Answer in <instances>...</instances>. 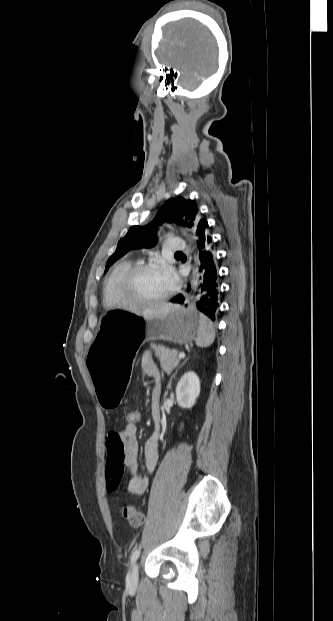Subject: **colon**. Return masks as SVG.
I'll list each match as a JSON object with an SVG mask.
<instances>
[{"instance_id": "1", "label": "colon", "mask_w": 333, "mask_h": 621, "mask_svg": "<svg viewBox=\"0 0 333 621\" xmlns=\"http://www.w3.org/2000/svg\"><path fill=\"white\" fill-rule=\"evenodd\" d=\"M141 420V412L136 408L126 410V421L128 424L137 425ZM124 517L132 527H139L143 523L142 513L132 506H127L123 510Z\"/></svg>"}]
</instances>
